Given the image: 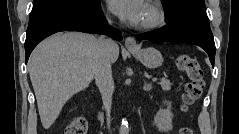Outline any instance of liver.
Wrapping results in <instances>:
<instances>
[{
	"label": "liver",
	"mask_w": 239,
	"mask_h": 134,
	"mask_svg": "<svg viewBox=\"0 0 239 134\" xmlns=\"http://www.w3.org/2000/svg\"><path fill=\"white\" fill-rule=\"evenodd\" d=\"M99 46L94 35L66 32L48 37L32 52L28 69L45 129L55 122L67 100L92 82L94 54ZM118 56L119 47L114 43L112 62Z\"/></svg>",
	"instance_id": "1"
}]
</instances>
